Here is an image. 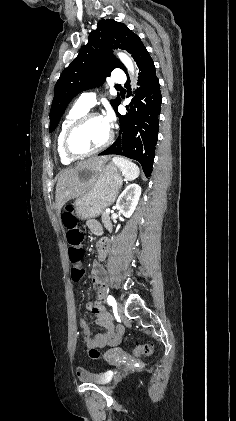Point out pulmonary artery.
<instances>
[{"instance_id": "pulmonary-artery-1", "label": "pulmonary artery", "mask_w": 236, "mask_h": 421, "mask_svg": "<svg viewBox=\"0 0 236 421\" xmlns=\"http://www.w3.org/2000/svg\"><path fill=\"white\" fill-rule=\"evenodd\" d=\"M111 81L113 84L111 86H121L125 84V71L123 69H115L113 75L111 76ZM96 104V93L88 92L82 94L78 100L77 105H79L84 110L91 109Z\"/></svg>"}]
</instances>
